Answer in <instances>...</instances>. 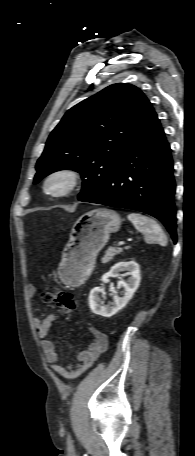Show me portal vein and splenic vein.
Masks as SVG:
<instances>
[{
	"label": "portal vein and splenic vein",
	"instance_id": "portal-vein-and-splenic-vein-1",
	"mask_svg": "<svg viewBox=\"0 0 195 456\" xmlns=\"http://www.w3.org/2000/svg\"><path fill=\"white\" fill-rule=\"evenodd\" d=\"M125 243H126L125 241H121V242L118 243V245H119V246H120V245H124Z\"/></svg>",
	"mask_w": 195,
	"mask_h": 456
}]
</instances>
